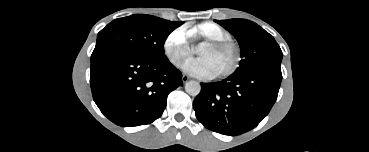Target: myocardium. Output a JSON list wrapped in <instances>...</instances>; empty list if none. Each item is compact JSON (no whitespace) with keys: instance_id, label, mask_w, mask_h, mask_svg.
I'll list each match as a JSON object with an SVG mask.
<instances>
[{"instance_id":"myocardium-1","label":"myocardium","mask_w":369,"mask_h":152,"mask_svg":"<svg viewBox=\"0 0 369 152\" xmlns=\"http://www.w3.org/2000/svg\"><path fill=\"white\" fill-rule=\"evenodd\" d=\"M201 47L214 49V50L228 47V48L233 49L234 51V61L232 65L227 70L219 74H216L214 78L224 79V78H227L233 75L238 70L241 64L242 55H241V49L236 42L230 39L211 40V41L204 43Z\"/></svg>"}]
</instances>
